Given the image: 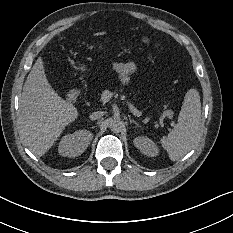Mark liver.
<instances>
[{
	"mask_svg": "<svg viewBox=\"0 0 233 233\" xmlns=\"http://www.w3.org/2000/svg\"><path fill=\"white\" fill-rule=\"evenodd\" d=\"M77 108L49 84L43 60L38 57L23 85L20 99V134L29 149L44 155L65 126L78 118Z\"/></svg>",
	"mask_w": 233,
	"mask_h": 233,
	"instance_id": "liver-1",
	"label": "liver"
}]
</instances>
